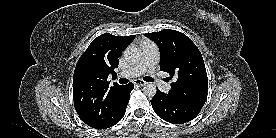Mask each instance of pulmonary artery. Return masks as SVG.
Returning a JSON list of instances; mask_svg holds the SVG:
<instances>
[{
	"instance_id": "pulmonary-artery-1",
	"label": "pulmonary artery",
	"mask_w": 276,
	"mask_h": 138,
	"mask_svg": "<svg viewBox=\"0 0 276 138\" xmlns=\"http://www.w3.org/2000/svg\"><path fill=\"white\" fill-rule=\"evenodd\" d=\"M159 59V53L157 46L149 41L142 44V57L139 63L136 65L121 71L118 74L120 78H134L138 77L144 73H149L155 76V70ZM159 88L168 92L171 88L170 83L156 79Z\"/></svg>"
}]
</instances>
